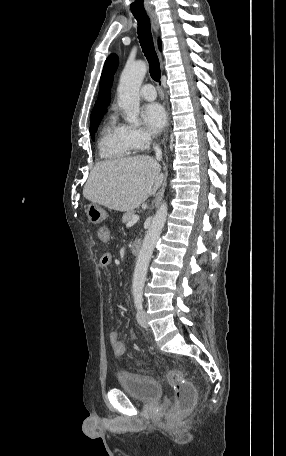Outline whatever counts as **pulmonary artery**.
<instances>
[{"mask_svg":"<svg viewBox=\"0 0 286 456\" xmlns=\"http://www.w3.org/2000/svg\"><path fill=\"white\" fill-rule=\"evenodd\" d=\"M140 96L147 101L156 99L157 94L152 84H145L140 89Z\"/></svg>","mask_w":286,"mask_h":456,"instance_id":"1","label":"pulmonary artery"}]
</instances>
